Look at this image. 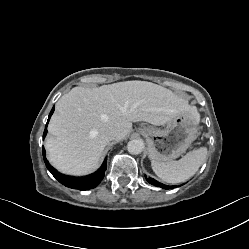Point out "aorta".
Masks as SVG:
<instances>
[{"label":"aorta","mask_w":249,"mask_h":249,"mask_svg":"<svg viewBox=\"0 0 249 249\" xmlns=\"http://www.w3.org/2000/svg\"><path fill=\"white\" fill-rule=\"evenodd\" d=\"M144 149V142L141 139L130 140L127 144V150L130 154H140Z\"/></svg>","instance_id":"1"}]
</instances>
